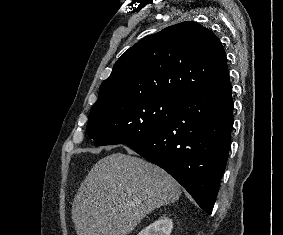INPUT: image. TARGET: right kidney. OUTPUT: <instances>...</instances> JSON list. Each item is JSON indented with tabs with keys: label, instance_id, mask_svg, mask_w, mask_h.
Wrapping results in <instances>:
<instances>
[{
	"label": "right kidney",
	"instance_id": "right-kidney-1",
	"mask_svg": "<svg viewBox=\"0 0 283 235\" xmlns=\"http://www.w3.org/2000/svg\"><path fill=\"white\" fill-rule=\"evenodd\" d=\"M172 228V220L164 216L147 226L138 235H170Z\"/></svg>",
	"mask_w": 283,
	"mask_h": 235
}]
</instances>
